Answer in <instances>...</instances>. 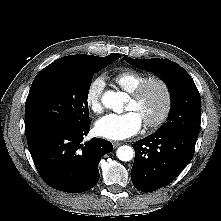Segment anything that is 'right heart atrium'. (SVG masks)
Returning a JSON list of instances; mask_svg holds the SVG:
<instances>
[{
  "instance_id": "d8ad5b80",
  "label": "right heart atrium",
  "mask_w": 221,
  "mask_h": 221,
  "mask_svg": "<svg viewBox=\"0 0 221 221\" xmlns=\"http://www.w3.org/2000/svg\"><path fill=\"white\" fill-rule=\"evenodd\" d=\"M105 82L101 77L93 79L85 92V102L88 108L94 113H100L103 110L102 96Z\"/></svg>"
}]
</instances>
